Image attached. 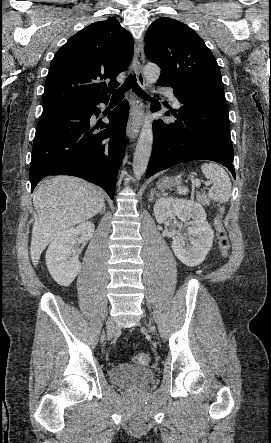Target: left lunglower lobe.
Instances as JSON below:
<instances>
[{
  "mask_svg": "<svg viewBox=\"0 0 271 443\" xmlns=\"http://www.w3.org/2000/svg\"><path fill=\"white\" fill-rule=\"evenodd\" d=\"M157 85L174 89L182 104L179 112L168 111L178 121L153 124L154 142L146 171L149 178L158 171L192 160H212L226 166L236 178L233 146L224 90L160 75ZM159 104L152 106L158 111Z\"/></svg>",
  "mask_w": 271,
  "mask_h": 443,
  "instance_id": "obj_1",
  "label": "left lung lower lobe"
}]
</instances>
